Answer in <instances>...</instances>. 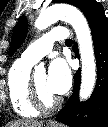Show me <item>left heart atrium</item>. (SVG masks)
I'll list each match as a JSON object with an SVG mask.
<instances>
[{"label":"left heart atrium","instance_id":"left-heart-atrium-1","mask_svg":"<svg viewBox=\"0 0 108 127\" xmlns=\"http://www.w3.org/2000/svg\"><path fill=\"white\" fill-rule=\"evenodd\" d=\"M72 74L66 60L62 58L54 59L48 70L46 86L53 95H62L70 87Z\"/></svg>","mask_w":108,"mask_h":127}]
</instances>
